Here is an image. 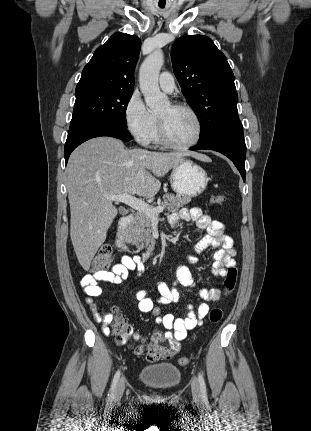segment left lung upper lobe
I'll return each mask as SVG.
<instances>
[{"label":"left lung upper lobe","instance_id":"5c2ea615","mask_svg":"<svg viewBox=\"0 0 311 431\" xmlns=\"http://www.w3.org/2000/svg\"><path fill=\"white\" fill-rule=\"evenodd\" d=\"M174 74L201 123L199 141L241 123L234 74L225 55L203 35L182 36L171 50Z\"/></svg>","mask_w":311,"mask_h":431}]
</instances>
